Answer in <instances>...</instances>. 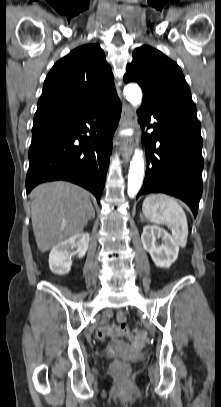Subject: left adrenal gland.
<instances>
[{
    "label": "left adrenal gland",
    "mask_w": 221,
    "mask_h": 407,
    "mask_svg": "<svg viewBox=\"0 0 221 407\" xmlns=\"http://www.w3.org/2000/svg\"><path fill=\"white\" fill-rule=\"evenodd\" d=\"M140 219H141V221L144 220V217H143V215L141 213H140Z\"/></svg>",
    "instance_id": "a2214340"
}]
</instances>
